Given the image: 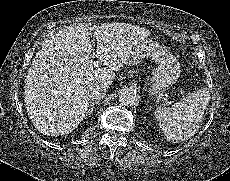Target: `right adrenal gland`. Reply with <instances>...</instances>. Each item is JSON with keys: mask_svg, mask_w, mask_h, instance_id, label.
<instances>
[{"mask_svg": "<svg viewBox=\"0 0 230 181\" xmlns=\"http://www.w3.org/2000/svg\"><path fill=\"white\" fill-rule=\"evenodd\" d=\"M95 104H98V101L91 102V104L89 105V109H88V111H87V113H88L89 115H91V114L93 113L94 105H95Z\"/></svg>", "mask_w": 230, "mask_h": 181, "instance_id": "1", "label": "right adrenal gland"}]
</instances>
